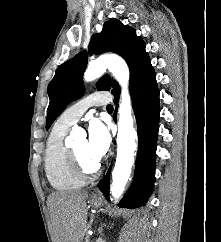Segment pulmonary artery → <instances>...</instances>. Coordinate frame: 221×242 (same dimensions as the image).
<instances>
[{"label": "pulmonary artery", "instance_id": "obj_1", "mask_svg": "<svg viewBox=\"0 0 221 242\" xmlns=\"http://www.w3.org/2000/svg\"><path fill=\"white\" fill-rule=\"evenodd\" d=\"M109 100V94L94 92L80 99L67 108L57 119L55 125L59 128L69 129L78 122L85 111L91 106L104 105Z\"/></svg>", "mask_w": 221, "mask_h": 242}]
</instances>
